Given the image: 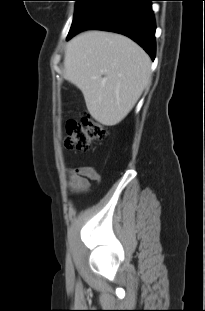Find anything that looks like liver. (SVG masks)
Here are the masks:
<instances>
[{
    "instance_id": "6515ba94",
    "label": "liver",
    "mask_w": 205,
    "mask_h": 311,
    "mask_svg": "<svg viewBox=\"0 0 205 311\" xmlns=\"http://www.w3.org/2000/svg\"><path fill=\"white\" fill-rule=\"evenodd\" d=\"M150 58L131 39L87 31L66 47L65 78L83 93L92 118L105 126L120 123L150 82Z\"/></svg>"
}]
</instances>
